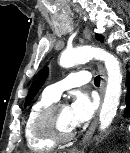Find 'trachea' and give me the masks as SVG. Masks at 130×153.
<instances>
[{"instance_id": "trachea-1", "label": "trachea", "mask_w": 130, "mask_h": 153, "mask_svg": "<svg viewBox=\"0 0 130 153\" xmlns=\"http://www.w3.org/2000/svg\"><path fill=\"white\" fill-rule=\"evenodd\" d=\"M94 84L96 86H99L100 85V77L99 76H96L95 79H94Z\"/></svg>"}]
</instances>
